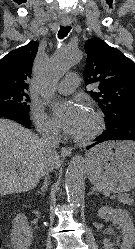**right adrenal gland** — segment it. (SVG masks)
I'll return each instance as SVG.
<instances>
[{"label":"right adrenal gland","mask_w":135,"mask_h":249,"mask_svg":"<svg viewBox=\"0 0 135 249\" xmlns=\"http://www.w3.org/2000/svg\"><path fill=\"white\" fill-rule=\"evenodd\" d=\"M49 180H50V178H49V176L47 175V176L45 177L43 186L41 187V192H40L41 194H43V192H45V191L48 189Z\"/></svg>","instance_id":"right-adrenal-gland-1"}]
</instances>
